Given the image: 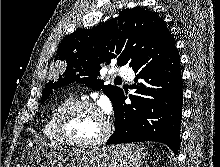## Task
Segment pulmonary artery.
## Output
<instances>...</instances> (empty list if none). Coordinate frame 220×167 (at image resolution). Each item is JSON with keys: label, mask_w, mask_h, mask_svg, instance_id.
I'll use <instances>...</instances> for the list:
<instances>
[{"label": "pulmonary artery", "mask_w": 220, "mask_h": 167, "mask_svg": "<svg viewBox=\"0 0 220 167\" xmlns=\"http://www.w3.org/2000/svg\"><path fill=\"white\" fill-rule=\"evenodd\" d=\"M116 74L127 79V80H131L132 78V70L126 66H121V67H118L116 70H115Z\"/></svg>", "instance_id": "pulmonary-artery-1"}]
</instances>
